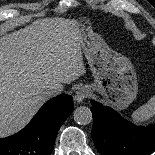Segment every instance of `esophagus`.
Masks as SVG:
<instances>
[{"instance_id": "1", "label": "esophagus", "mask_w": 155, "mask_h": 155, "mask_svg": "<svg viewBox=\"0 0 155 155\" xmlns=\"http://www.w3.org/2000/svg\"><path fill=\"white\" fill-rule=\"evenodd\" d=\"M88 96V89L86 87H80L75 92L74 100L77 103H81Z\"/></svg>"}]
</instances>
